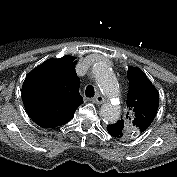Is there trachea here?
Masks as SVG:
<instances>
[{"mask_svg":"<svg viewBox=\"0 0 177 177\" xmlns=\"http://www.w3.org/2000/svg\"><path fill=\"white\" fill-rule=\"evenodd\" d=\"M85 94L87 97H93L95 94L94 87L92 85H89L86 87Z\"/></svg>","mask_w":177,"mask_h":177,"instance_id":"3493384b","label":"trachea"}]
</instances>
